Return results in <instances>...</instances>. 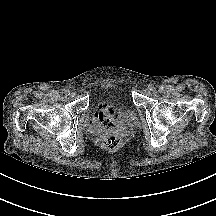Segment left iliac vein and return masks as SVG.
I'll return each instance as SVG.
<instances>
[{
    "label": "left iliac vein",
    "mask_w": 216,
    "mask_h": 216,
    "mask_svg": "<svg viewBox=\"0 0 216 216\" xmlns=\"http://www.w3.org/2000/svg\"><path fill=\"white\" fill-rule=\"evenodd\" d=\"M144 93H145V94H149V93H150V87L144 88Z\"/></svg>",
    "instance_id": "4c4485c4"
}]
</instances>
